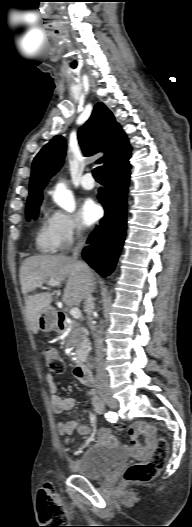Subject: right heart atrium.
I'll list each match as a JSON object with an SVG mask.
<instances>
[{"mask_svg":"<svg viewBox=\"0 0 192 527\" xmlns=\"http://www.w3.org/2000/svg\"><path fill=\"white\" fill-rule=\"evenodd\" d=\"M48 221L58 249L70 246L83 232V227L76 215L59 209L50 211Z\"/></svg>","mask_w":192,"mask_h":527,"instance_id":"obj_1","label":"right heart atrium"}]
</instances>
